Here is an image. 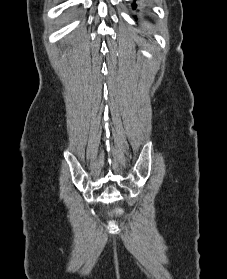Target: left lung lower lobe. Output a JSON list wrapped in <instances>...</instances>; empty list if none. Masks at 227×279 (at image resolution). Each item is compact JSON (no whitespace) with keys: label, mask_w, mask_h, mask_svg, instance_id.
Masks as SVG:
<instances>
[{"label":"left lung lower lobe","mask_w":227,"mask_h":279,"mask_svg":"<svg viewBox=\"0 0 227 279\" xmlns=\"http://www.w3.org/2000/svg\"><path fill=\"white\" fill-rule=\"evenodd\" d=\"M134 1H136V0H134ZM132 6H133V8L137 7V5L135 3H133Z\"/></svg>","instance_id":"obj_1"}]
</instances>
